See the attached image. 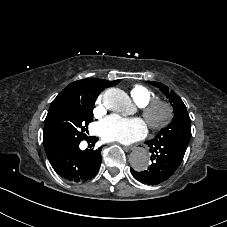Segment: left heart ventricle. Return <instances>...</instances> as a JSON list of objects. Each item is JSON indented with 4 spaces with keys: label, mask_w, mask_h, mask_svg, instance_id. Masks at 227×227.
<instances>
[{
    "label": "left heart ventricle",
    "mask_w": 227,
    "mask_h": 227,
    "mask_svg": "<svg viewBox=\"0 0 227 227\" xmlns=\"http://www.w3.org/2000/svg\"><path fill=\"white\" fill-rule=\"evenodd\" d=\"M164 116V110L163 109H157L155 113L153 114V120L154 121H159L163 118Z\"/></svg>",
    "instance_id": "obj_1"
}]
</instances>
